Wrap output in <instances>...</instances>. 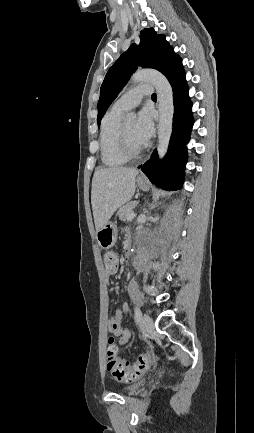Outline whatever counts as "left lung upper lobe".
<instances>
[{
  "label": "left lung upper lobe",
  "instance_id": "obj_1",
  "mask_svg": "<svg viewBox=\"0 0 254 433\" xmlns=\"http://www.w3.org/2000/svg\"><path fill=\"white\" fill-rule=\"evenodd\" d=\"M178 58L164 35H157L153 28L142 30L140 44H132L108 70L104 78L98 102V125L137 66L154 68L165 74Z\"/></svg>",
  "mask_w": 254,
  "mask_h": 433
}]
</instances>
